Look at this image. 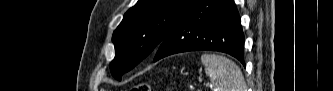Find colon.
I'll return each mask as SVG.
<instances>
[{
	"label": "colon",
	"mask_w": 333,
	"mask_h": 91,
	"mask_svg": "<svg viewBox=\"0 0 333 91\" xmlns=\"http://www.w3.org/2000/svg\"><path fill=\"white\" fill-rule=\"evenodd\" d=\"M131 91H150V85L148 83H139L134 85Z\"/></svg>",
	"instance_id": "obj_1"
}]
</instances>
